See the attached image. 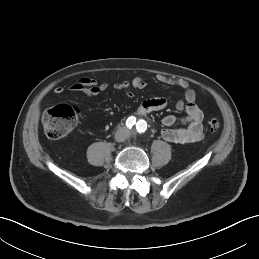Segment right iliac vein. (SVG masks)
<instances>
[{
	"label": "right iliac vein",
	"mask_w": 259,
	"mask_h": 259,
	"mask_svg": "<svg viewBox=\"0 0 259 259\" xmlns=\"http://www.w3.org/2000/svg\"><path fill=\"white\" fill-rule=\"evenodd\" d=\"M117 139H118L119 141H122V140H123L122 135H118Z\"/></svg>",
	"instance_id": "1"
}]
</instances>
